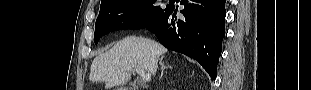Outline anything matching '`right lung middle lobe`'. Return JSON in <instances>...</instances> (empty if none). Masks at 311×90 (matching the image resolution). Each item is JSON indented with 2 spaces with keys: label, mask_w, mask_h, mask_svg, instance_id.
<instances>
[{
  "label": "right lung middle lobe",
  "mask_w": 311,
  "mask_h": 90,
  "mask_svg": "<svg viewBox=\"0 0 311 90\" xmlns=\"http://www.w3.org/2000/svg\"><path fill=\"white\" fill-rule=\"evenodd\" d=\"M156 0H107L100 5L95 24L94 42L103 35L120 29H141L158 21L169 5L162 9ZM141 10V11H139Z\"/></svg>",
  "instance_id": "right-lung-middle-lobe-1"
}]
</instances>
